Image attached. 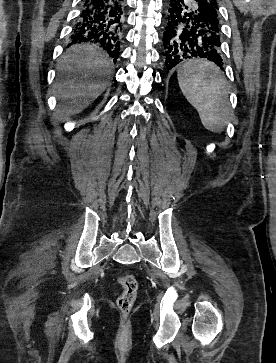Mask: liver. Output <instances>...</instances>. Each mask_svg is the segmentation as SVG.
<instances>
[{"mask_svg":"<svg viewBox=\"0 0 276 363\" xmlns=\"http://www.w3.org/2000/svg\"><path fill=\"white\" fill-rule=\"evenodd\" d=\"M112 64L97 46L76 44L66 50L58 61L57 70L63 78L55 84L57 97L68 101L58 113L63 117L85 109L106 88L103 78L111 73ZM70 75L76 76L69 79Z\"/></svg>","mask_w":276,"mask_h":363,"instance_id":"1","label":"liver"}]
</instances>
